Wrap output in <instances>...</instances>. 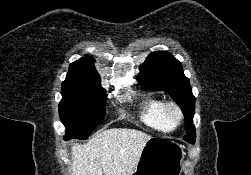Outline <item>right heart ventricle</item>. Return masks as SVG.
<instances>
[{"label": "right heart ventricle", "instance_id": "right-heart-ventricle-1", "mask_svg": "<svg viewBox=\"0 0 251 175\" xmlns=\"http://www.w3.org/2000/svg\"><path fill=\"white\" fill-rule=\"evenodd\" d=\"M164 105L165 102L161 98L146 97L138 103L137 109L146 126L158 132L170 133L175 128L164 116Z\"/></svg>", "mask_w": 251, "mask_h": 175}]
</instances>
